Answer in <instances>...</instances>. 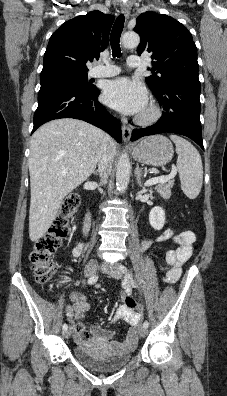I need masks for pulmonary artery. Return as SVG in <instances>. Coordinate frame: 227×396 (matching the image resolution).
<instances>
[{
	"instance_id": "obj_1",
	"label": "pulmonary artery",
	"mask_w": 227,
	"mask_h": 396,
	"mask_svg": "<svg viewBox=\"0 0 227 396\" xmlns=\"http://www.w3.org/2000/svg\"><path fill=\"white\" fill-rule=\"evenodd\" d=\"M127 64L130 67H139L142 61L138 56L132 55L128 57ZM120 73V68L115 65H97L94 67L90 75L92 77H112Z\"/></svg>"
}]
</instances>
